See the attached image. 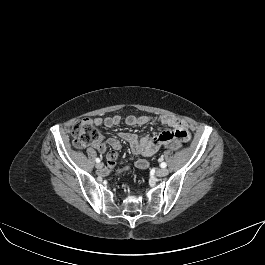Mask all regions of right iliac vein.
I'll return each instance as SVG.
<instances>
[{
  "label": "right iliac vein",
  "mask_w": 265,
  "mask_h": 265,
  "mask_svg": "<svg viewBox=\"0 0 265 265\" xmlns=\"http://www.w3.org/2000/svg\"><path fill=\"white\" fill-rule=\"evenodd\" d=\"M103 166H104V165H103V163H101V162H99V163L96 164V168H97V169H102Z\"/></svg>",
  "instance_id": "right-iliac-vein-1"
}]
</instances>
